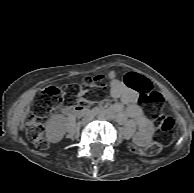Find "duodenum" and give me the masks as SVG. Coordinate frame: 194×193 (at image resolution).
I'll use <instances>...</instances> for the list:
<instances>
[{"label":"duodenum","mask_w":194,"mask_h":193,"mask_svg":"<svg viewBox=\"0 0 194 193\" xmlns=\"http://www.w3.org/2000/svg\"><path fill=\"white\" fill-rule=\"evenodd\" d=\"M63 113L65 115H71V116L88 114V113H93V114H97V115L104 114L101 111H92V110H89V109L82 107V106H66L63 108Z\"/></svg>","instance_id":"1"}]
</instances>
